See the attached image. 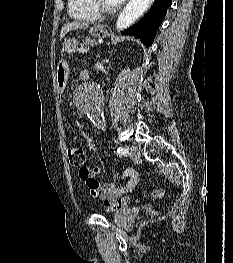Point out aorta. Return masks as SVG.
I'll use <instances>...</instances> for the list:
<instances>
[{"label": "aorta", "mask_w": 233, "mask_h": 263, "mask_svg": "<svg viewBox=\"0 0 233 263\" xmlns=\"http://www.w3.org/2000/svg\"><path fill=\"white\" fill-rule=\"evenodd\" d=\"M154 0H130L124 7L116 21L117 30H123L140 18L150 7ZM78 109L91 120L101 119L102 90L98 83L88 82L83 84L76 98Z\"/></svg>", "instance_id": "obj_1"}]
</instances>
